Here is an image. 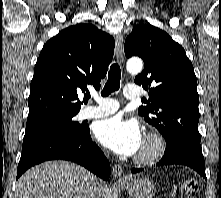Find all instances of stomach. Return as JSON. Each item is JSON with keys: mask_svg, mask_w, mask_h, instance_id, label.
<instances>
[{"mask_svg": "<svg viewBox=\"0 0 221 198\" xmlns=\"http://www.w3.org/2000/svg\"><path fill=\"white\" fill-rule=\"evenodd\" d=\"M121 185L132 198H153L156 193L154 183L147 178L129 177Z\"/></svg>", "mask_w": 221, "mask_h": 198, "instance_id": "stomach-1", "label": "stomach"}]
</instances>
